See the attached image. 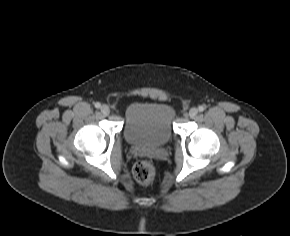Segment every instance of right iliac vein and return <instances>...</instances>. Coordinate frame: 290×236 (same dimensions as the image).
I'll list each match as a JSON object with an SVG mask.
<instances>
[{
    "instance_id": "63e3f726",
    "label": "right iliac vein",
    "mask_w": 290,
    "mask_h": 236,
    "mask_svg": "<svg viewBox=\"0 0 290 236\" xmlns=\"http://www.w3.org/2000/svg\"><path fill=\"white\" fill-rule=\"evenodd\" d=\"M100 110L103 115H108L110 113V109L107 105H102Z\"/></svg>"
}]
</instances>
